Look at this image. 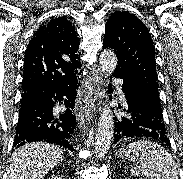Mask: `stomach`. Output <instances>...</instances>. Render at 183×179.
<instances>
[{
    "label": "stomach",
    "instance_id": "obj_1",
    "mask_svg": "<svg viewBox=\"0 0 183 179\" xmlns=\"http://www.w3.org/2000/svg\"><path fill=\"white\" fill-rule=\"evenodd\" d=\"M117 155L128 161H135L139 157L137 152H129L127 149L117 152Z\"/></svg>",
    "mask_w": 183,
    "mask_h": 179
}]
</instances>
